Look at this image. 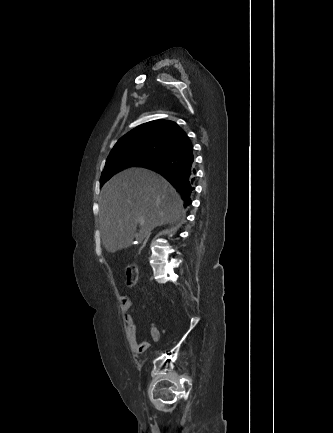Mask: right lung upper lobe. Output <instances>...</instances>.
Here are the masks:
<instances>
[{
  "label": "right lung upper lobe",
  "mask_w": 333,
  "mask_h": 433,
  "mask_svg": "<svg viewBox=\"0 0 333 433\" xmlns=\"http://www.w3.org/2000/svg\"><path fill=\"white\" fill-rule=\"evenodd\" d=\"M189 141L185 131L175 122L155 120L139 125L128 132L116 143L113 149L146 146L162 148L172 153L185 146Z\"/></svg>",
  "instance_id": "obj_1"
}]
</instances>
